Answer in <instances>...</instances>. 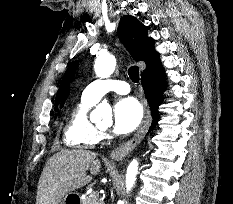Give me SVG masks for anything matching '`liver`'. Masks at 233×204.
<instances>
[{
    "label": "liver",
    "instance_id": "6515ba94",
    "mask_svg": "<svg viewBox=\"0 0 233 204\" xmlns=\"http://www.w3.org/2000/svg\"><path fill=\"white\" fill-rule=\"evenodd\" d=\"M96 153L82 150H62L47 161L39 182L36 204H59L69 193L91 181L86 175L100 172Z\"/></svg>",
    "mask_w": 233,
    "mask_h": 204
}]
</instances>
